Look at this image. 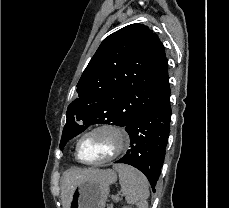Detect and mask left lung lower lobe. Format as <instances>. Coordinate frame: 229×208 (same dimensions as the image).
<instances>
[{
	"label": "left lung lower lobe",
	"mask_w": 229,
	"mask_h": 208,
	"mask_svg": "<svg viewBox=\"0 0 229 208\" xmlns=\"http://www.w3.org/2000/svg\"><path fill=\"white\" fill-rule=\"evenodd\" d=\"M170 87L125 128L130 149L117 162L129 164L147 177L152 189L159 179L170 133Z\"/></svg>",
	"instance_id": "left-lung-lower-lobe-1"
}]
</instances>
